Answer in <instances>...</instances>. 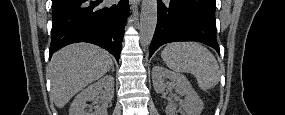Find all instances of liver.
Wrapping results in <instances>:
<instances>
[{
  "mask_svg": "<svg viewBox=\"0 0 285 115\" xmlns=\"http://www.w3.org/2000/svg\"><path fill=\"white\" fill-rule=\"evenodd\" d=\"M112 65L110 54L92 44H72L56 52L49 63L55 105L64 107L76 93L104 76Z\"/></svg>",
  "mask_w": 285,
  "mask_h": 115,
  "instance_id": "obj_1",
  "label": "liver"
}]
</instances>
